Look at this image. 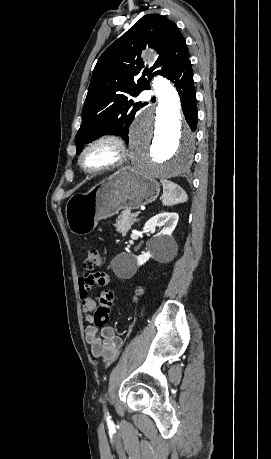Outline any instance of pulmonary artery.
<instances>
[{
    "label": "pulmonary artery",
    "instance_id": "1",
    "mask_svg": "<svg viewBox=\"0 0 271 459\" xmlns=\"http://www.w3.org/2000/svg\"><path fill=\"white\" fill-rule=\"evenodd\" d=\"M151 97V92L149 90H144L142 92V96L140 97V102L142 104H149L150 100L149 98Z\"/></svg>",
    "mask_w": 271,
    "mask_h": 459
}]
</instances>
